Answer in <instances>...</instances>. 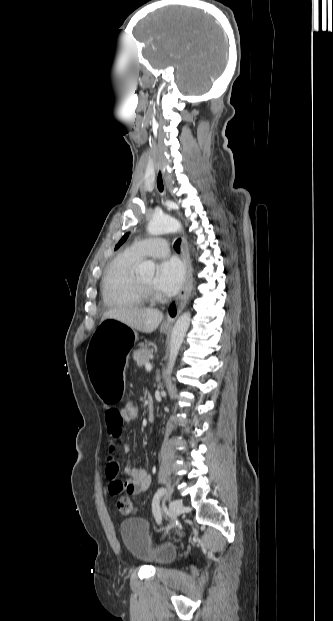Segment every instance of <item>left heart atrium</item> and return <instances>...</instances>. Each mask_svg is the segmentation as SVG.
<instances>
[{"label":"left heart atrium","mask_w":333,"mask_h":621,"mask_svg":"<svg viewBox=\"0 0 333 621\" xmlns=\"http://www.w3.org/2000/svg\"><path fill=\"white\" fill-rule=\"evenodd\" d=\"M184 277V267L179 260H164L157 268L154 276V286L163 293L173 294L183 286Z\"/></svg>","instance_id":"obj_1"}]
</instances>
